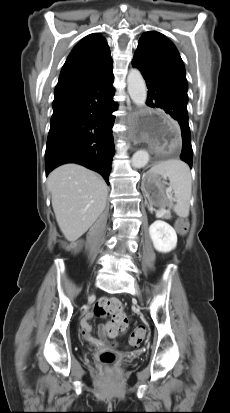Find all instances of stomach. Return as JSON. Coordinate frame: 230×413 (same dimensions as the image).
Instances as JSON below:
<instances>
[{"label":"stomach","mask_w":230,"mask_h":413,"mask_svg":"<svg viewBox=\"0 0 230 413\" xmlns=\"http://www.w3.org/2000/svg\"><path fill=\"white\" fill-rule=\"evenodd\" d=\"M141 189L151 205L162 208L168 204L170 199L168 188L159 176L145 174Z\"/></svg>","instance_id":"stomach-1"}]
</instances>
